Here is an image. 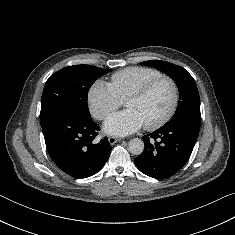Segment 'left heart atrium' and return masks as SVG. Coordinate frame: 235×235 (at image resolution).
I'll use <instances>...</instances> for the list:
<instances>
[{"label":"left heart atrium","instance_id":"1","mask_svg":"<svg viewBox=\"0 0 235 235\" xmlns=\"http://www.w3.org/2000/svg\"><path fill=\"white\" fill-rule=\"evenodd\" d=\"M144 121L133 109H126L108 117L104 123L107 133L125 136L134 133L144 126Z\"/></svg>","mask_w":235,"mask_h":235}]
</instances>
